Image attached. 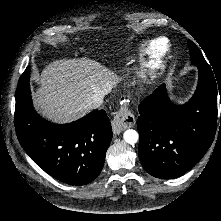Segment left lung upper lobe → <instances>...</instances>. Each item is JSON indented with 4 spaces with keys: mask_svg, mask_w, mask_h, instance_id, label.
<instances>
[{
    "mask_svg": "<svg viewBox=\"0 0 221 221\" xmlns=\"http://www.w3.org/2000/svg\"><path fill=\"white\" fill-rule=\"evenodd\" d=\"M188 45L190 48V55H191L192 63L197 67L202 66V67L210 68L209 64L206 62L199 48L192 41H189Z\"/></svg>",
    "mask_w": 221,
    "mask_h": 221,
    "instance_id": "1",
    "label": "left lung upper lobe"
}]
</instances>
